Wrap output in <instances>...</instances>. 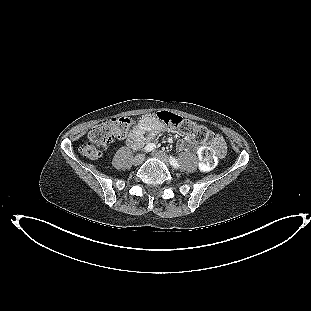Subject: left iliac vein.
Here are the masks:
<instances>
[{
  "mask_svg": "<svg viewBox=\"0 0 311 311\" xmlns=\"http://www.w3.org/2000/svg\"><path fill=\"white\" fill-rule=\"evenodd\" d=\"M153 156L160 159L161 161H163L166 165H169V157L167 154H165L164 152L162 151H154L153 153Z\"/></svg>",
  "mask_w": 311,
  "mask_h": 311,
  "instance_id": "1",
  "label": "left iliac vein"
}]
</instances>
